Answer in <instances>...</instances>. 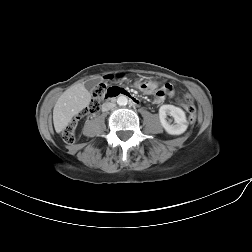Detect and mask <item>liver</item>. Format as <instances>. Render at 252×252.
<instances>
[{"label": "liver", "instance_id": "6515ba94", "mask_svg": "<svg viewBox=\"0 0 252 252\" xmlns=\"http://www.w3.org/2000/svg\"><path fill=\"white\" fill-rule=\"evenodd\" d=\"M91 95L83 84L67 89L57 100L53 110V123L57 133L64 130L73 116L89 105Z\"/></svg>", "mask_w": 252, "mask_h": 252}]
</instances>
